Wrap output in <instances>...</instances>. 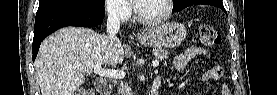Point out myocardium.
<instances>
[{
	"label": "myocardium",
	"instance_id": "1",
	"mask_svg": "<svg viewBox=\"0 0 277 95\" xmlns=\"http://www.w3.org/2000/svg\"><path fill=\"white\" fill-rule=\"evenodd\" d=\"M139 1H141V0H133L132 1V9H133L134 18L142 24H146V25L161 24L170 17V15L173 11V0H164V2L166 4V11H165L164 15L157 17V18H145V17H142L138 12L137 4Z\"/></svg>",
	"mask_w": 277,
	"mask_h": 95
}]
</instances>
